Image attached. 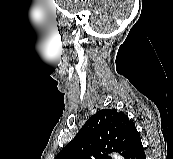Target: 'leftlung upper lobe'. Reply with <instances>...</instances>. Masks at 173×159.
<instances>
[{
	"mask_svg": "<svg viewBox=\"0 0 173 159\" xmlns=\"http://www.w3.org/2000/svg\"><path fill=\"white\" fill-rule=\"evenodd\" d=\"M139 143L140 134L127 115L115 109L100 110L55 159H111L109 151L119 152L127 159Z\"/></svg>",
	"mask_w": 173,
	"mask_h": 159,
	"instance_id": "5c2ea615",
	"label": "left lung upper lobe"
}]
</instances>
